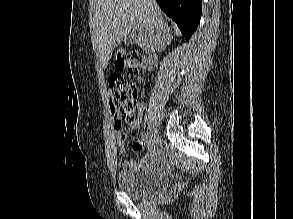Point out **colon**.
I'll return each instance as SVG.
<instances>
[{"label":"colon","mask_w":293,"mask_h":219,"mask_svg":"<svg viewBox=\"0 0 293 219\" xmlns=\"http://www.w3.org/2000/svg\"><path fill=\"white\" fill-rule=\"evenodd\" d=\"M117 71L109 76L111 94L118 105L120 122L132 123L136 109L137 90L132 78L139 67V57L133 51H120L115 59Z\"/></svg>","instance_id":"1"}]
</instances>
